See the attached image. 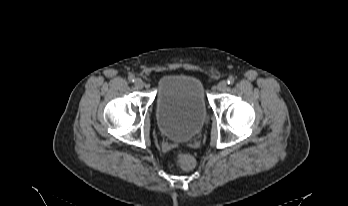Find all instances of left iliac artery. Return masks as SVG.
<instances>
[{
    "label": "left iliac artery",
    "mask_w": 348,
    "mask_h": 206,
    "mask_svg": "<svg viewBox=\"0 0 348 206\" xmlns=\"http://www.w3.org/2000/svg\"><path fill=\"white\" fill-rule=\"evenodd\" d=\"M227 83L228 85H233L234 83V78L232 76H230L228 79H227Z\"/></svg>",
    "instance_id": "1"
}]
</instances>
